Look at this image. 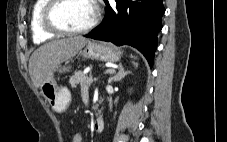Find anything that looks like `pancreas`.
I'll return each mask as SVG.
<instances>
[{
  "mask_svg": "<svg viewBox=\"0 0 227 142\" xmlns=\"http://www.w3.org/2000/svg\"><path fill=\"white\" fill-rule=\"evenodd\" d=\"M87 78L88 77L84 74L83 71H78L73 76H71L69 84L74 88L79 84L82 87L83 85L86 84Z\"/></svg>",
  "mask_w": 227,
  "mask_h": 142,
  "instance_id": "1",
  "label": "pancreas"
}]
</instances>
